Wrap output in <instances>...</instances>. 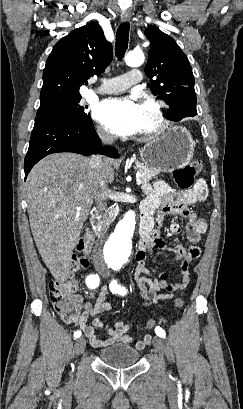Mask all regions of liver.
Masks as SVG:
<instances>
[{
  "instance_id": "6515ba94",
  "label": "liver",
  "mask_w": 243,
  "mask_h": 409,
  "mask_svg": "<svg viewBox=\"0 0 243 409\" xmlns=\"http://www.w3.org/2000/svg\"><path fill=\"white\" fill-rule=\"evenodd\" d=\"M104 170L107 183L113 182L110 159H104ZM25 191L30 228L39 254L55 280L63 283L69 276L72 251L96 195L89 158L75 153L46 156L30 171Z\"/></svg>"
}]
</instances>
